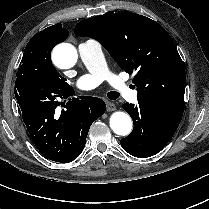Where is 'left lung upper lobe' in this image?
<instances>
[{
    "instance_id": "obj_1",
    "label": "left lung upper lobe",
    "mask_w": 209,
    "mask_h": 209,
    "mask_svg": "<svg viewBox=\"0 0 209 209\" xmlns=\"http://www.w3.org/2000/svg\"><path fill=\"white\" fill-rule=\"evenodd\" d=\"M74 32L96 39L120 68L136 73L138 101L183 113L184 65L172 38L157 22L135 13H115L85 19Z\"/></svg>"
}]
</instances>
